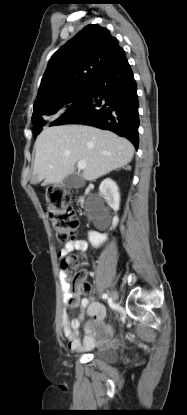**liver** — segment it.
Segmentation results:
<instances>
[{
	"label": "liver",
	"instance_id": "6515ba94",
	"mask_svg": "<svg viewBox=\"0 0 187 415\" xmlns=\"http://www.w3.org/2000/svg\"><path fill=\"white\" fill-rule=\"evenodd\" d=\"M31 184L60 183L73 173L75 164L85 161L82 177L93 181L127 165L134 146L123 137L95 127L61 125L44 129L35 142Z\"/></svg>",
	"mask_w": 187,
	"mask_h": 415
}]
</instances>
